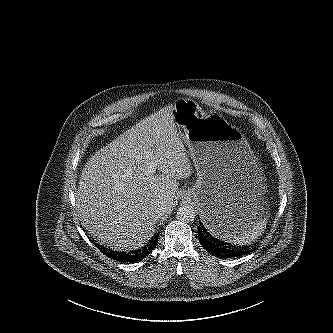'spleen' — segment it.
Instances as JSON below:
<instances>
[{"mask_svg":"<svg viewBox=\"0 0 333 333\" xmlns=\"http://www.w3.org/2000/svg\"><path fill=\"white\" fill-rule=\"evenodd\" d=\"M266 224L267 222L265 219H260L251 226L228 233L225 237H223V239L235 245L242 246L250 244L261 235V232L266 227Z\"/></svg>","mask_w":333,"mask_h":333,"instance_id":"1","label":"spleen"}]
</instances>
